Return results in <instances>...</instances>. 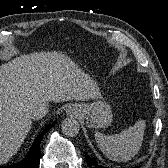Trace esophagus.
<instances>
[{"instance_id": "esophagus-1", "label": "esophagus", "mask_w": 168, "mask_h": 168, "mask_svg": "<svg viewBox=\"0 0 168 168\" xmlns=\"http://www.w3.org/2000/svg\"><path fill=\"white\" fill-rule=\"evenodd\" d=\"M67 113L70 115H76L77 114V108L72 106L67 109Z\"/></svg>"}]
</instances>
